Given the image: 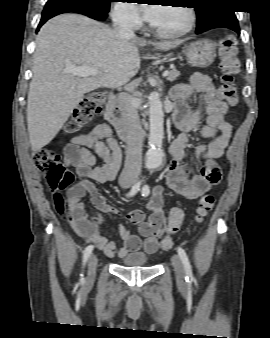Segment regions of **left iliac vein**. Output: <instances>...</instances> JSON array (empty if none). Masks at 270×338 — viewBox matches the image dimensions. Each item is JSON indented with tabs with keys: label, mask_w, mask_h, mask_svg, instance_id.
<instances>
[{
	"label": "left iliac vein",
	"mask_w": 270,
	"mask_h": 338,
	"mask_svg": "<svg viewBox=\"0 0 270 338\" xmlns=\"http://www.w3.org/2000/svg\"><path fill=\"white\" fill-rule=\"evenodd\" d=\"M171 263L174 267L175 275L177 280L182 283L185 279V268L184 265L180 259V257L176 254H174L171 257Z\"/></svg>",
	"instance_id": "obj_1"
}]
</instances>
